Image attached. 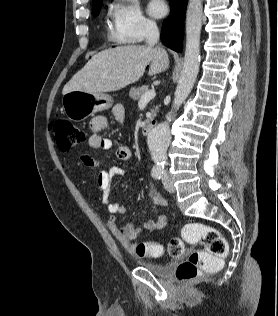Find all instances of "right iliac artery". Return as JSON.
Listing matches in <instances>:
<instances>
[{"label":"right iliac artery","mask_w":278,"mask_h":316,"mask_svg":"<svg viewBox=\"0 0 278 316\" xmlns=\"http://www.w3.org/2000/svg\"><path fill=\"white\" fill-rule=\"evenodd\" d=\"M162 174H163V169H162L161 167H154V168L152 169V177H153L155 180H160Z\"/></svg>","instance_id":"right-iliac-artery-1"}]
</instances>
